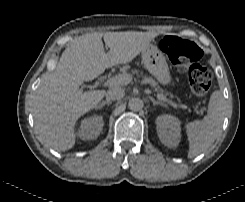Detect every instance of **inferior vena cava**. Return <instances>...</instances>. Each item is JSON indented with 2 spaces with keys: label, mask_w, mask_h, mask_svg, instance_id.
I'll return each instance as SVG.
<instances>
[{
  "label": "inferior vena cava",
  "mask_w": 245,
  "mask_h": 202,
  "mask_svg": "<svg viewBox=\"0 0 245 202\" xmlns=\"http://www.w3.org/2000/svg\"><path fill=\"white\" fill-rule=\"evenodd\" d=\"M124 90L122 88H113L111 90H108L106 93H105V96H106V100L108 101H114V100H119L121 98H123L124 96Z\"/></svg>",
  "instance_id": "obj_1"
}]
</instances>
